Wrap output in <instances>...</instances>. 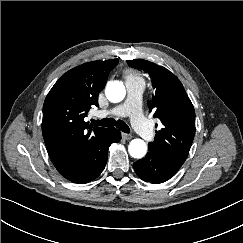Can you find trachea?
<instances>
[{"label":"trachea","instance_id":"3493384b","mask_svg":"<svg viewBox=\"0 0 243 243\" xmlns=\"http://www.w3.org/2000/svg\"><path fill=\"white\" fill-rule=\"evenodd\" d=\"M91 121H92V125L103 126V127L116 126L122 132H125V133L130 132L129 127L122 120L116 121L113 118H104L102 120H91Z\"/></svg>","mask_w":243,"mask_h":243}]
</instances>
